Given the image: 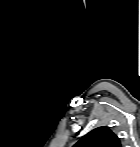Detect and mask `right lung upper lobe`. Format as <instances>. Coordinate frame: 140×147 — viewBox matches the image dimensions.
Instances as JSON below:
<instances>
[{"label": "right lung upper lobe", "mask_w": 140, "mask_h": 147, "mask_svg": "<svg viewBox=\"0 0 140 147\" xmlns=\"http://www.w3.org/2000/svg\"><path fill=\"white\" fill-rule=\"evenodd\" d=\"M76 147H121L119 138L108 128L99 127L85 136L76 144Z\"/></svg>", "instance_id": "obj_1"}]
</instances>
